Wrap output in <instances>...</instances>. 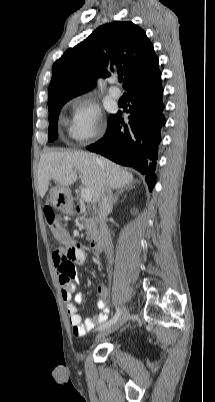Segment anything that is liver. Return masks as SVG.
<instances>
[{
  "instance_id": "liver-1",
  "label": "liver",
  "mask_w": 215,
  "mask_h": 402,
  "mask_svg": "<svg viewBox=\"0 0 215 402\" xmlns=\"http://www.w3.org/2000/svg\"><path fill=\"white\" fill-rule=\"evenodd\" d=\"M81 174L82 184L98 202L104 183L110 188L120 189L130 185L133 175L107 158L83 151H48L41 155L38 166V192L43 198L49 182L54 180L63 187H69Z\"/></svg>"
}]
</instances>
